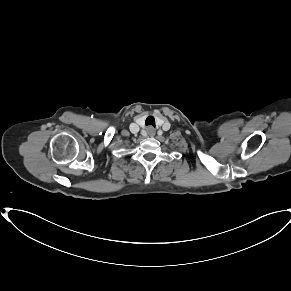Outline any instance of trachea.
<instances>
[{
  "label": "trachea",
  "mask_w": 291,
  "mask_h": 291,
  "mask_svg": "<svg viewBox=\"0 0 291 291\" xmlns=\"http://www.w3.org/2000/svg\"><path fill=\"white\" fill-rule=\"evenodd\" d=\"M146 125H152L155 127V119L153 116H148L145 120Z\"/></svg>",
  "instance_id": "trachea-1"
}]
</instances>
